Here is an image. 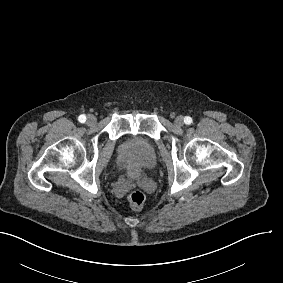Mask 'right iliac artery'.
I'll return each mask as SVG.
<instances>
[{"instance_id":"obj_1","label":"right iliac artery","mask_w":283,"mask_h":283,"mask_svg":"<svg viewBox=\"0 0 283 283\" xmlns=\"http://www.w3.org/2000/svg\"><path fill=\"white\" fill-rule=\"evenodd\" d=\"M79 122L84 123L86 121V116L85 115H80L78 117Z\"/></svg>"}]
</instances>
